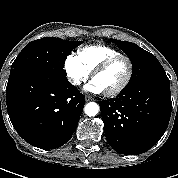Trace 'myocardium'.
Instances as JSON below:
<instances>
[{"instance_id":"1","label":"myocardium","mask_w":178,"mask_h":178,"mask_svg":"<svg viewBox=\"0 0 178 178\" xmlns=\"http://www.w3.org/2000/svg\"><path fill=\"white\" fill-rule=\"evenodd\" d=\"M119 60H125L126 61V63H127V75H126L124 81L118 87H116V88H114L110 91L104 92V94L106 96H109V97L118 95L119 93L123 92L128 87V85L130 84L131 79L133 77V72H134V65H133L132 60L128 56L123 55V54L115 55V56L109 57L108 59L104 60L92 72V79L94 80V78L97 75L104 72L108 67H110L112 64L116 63Z\"/></svg>"}]
</instances>
